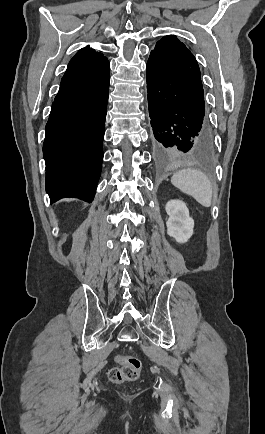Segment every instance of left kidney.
I'll use <instances>...</instances> for the list:
<instances>
[{
	"mask_svg": "<svg viewBox=\"0 0 265 434\" xmlns=\"http://www.w3.org/2000/svg\"><path fill=\"white\" fill-rule=\"evenodd\" d=\"M169 218L166 222L167 234L175 238L179 244H185L193 236L194 220L189 216V210L181 200L167 202L165 208Z\"/></svg>",
	"mask_w": 265,
	"mask_h": 434,
	"instance_id": "left-kidney-1",
	"label": "left kidney"
}]
</instances>
